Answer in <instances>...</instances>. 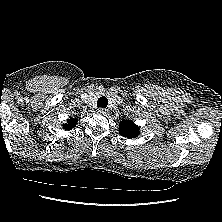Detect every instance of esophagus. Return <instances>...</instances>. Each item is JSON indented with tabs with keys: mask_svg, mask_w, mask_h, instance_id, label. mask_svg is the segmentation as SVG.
<instances>
[{
	"mask_svg": "<svg viewBox=\"0 0 222 222\" xmlns=\"http://www.w3.org/2000/svg\"><path fill=\"white\" fill-rule=\"evenodd\" d=\"M107 111H108V110H107L106 108H99V109H98V112L101 113V114H106Z\"/></svg>",
	"mask_w": 222,
	"mask_h": 222,
	"instance_id": "1",
	"label": "esophagus"
}]
</instances>
